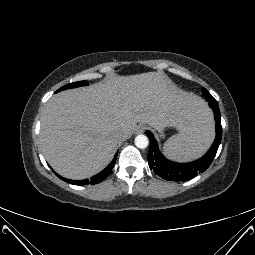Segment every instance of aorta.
Listing matches in <instances>:
<instances>
[{
    "label": "aorta",
    "mask_w": 255,
    "mask_h": 255,
    "mask_svg": "<svg viewBox=\"0 0 255 255\" xmlns=\"http://www.w3.org/2000/svg\"><path fill=\"white\" fill-rule=\"evenodd\" d=\"M134 143L137 148L145 149L149 144V140L146 135L140 134L135 137Z\"/></svg>",
    "instance_id": "1"
}]
</instances>
